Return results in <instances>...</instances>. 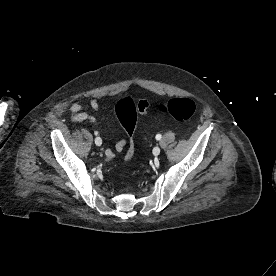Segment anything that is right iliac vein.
<instances>
[{"mask_svg":"<svg viewBox=\"0 0 276 276\" xmlns=\"http://www.w3.org/2000/svg\"><path fill=\"white\" fill-rule=\"evenodd\" d=\"M100 140H101L100 137H96V138H95V144H96L97 146H100V145H101V144H98V143H97V141H100Z\"/></svg>","mask_w":276,"mask_h":276,"instance_id":"1","label":"right iliac vein"}]
</instances>
